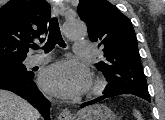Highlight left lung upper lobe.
<instances>
[{
	"instance_id": "5c2ea615",
	"label": "left lung upper lobe",
	"mask_w": 165,
	"mask_h": 120,
	"mask_svg": "<svg viewBox=\"0 0 165 120\" xmlns=\"http://www.w3.org/2000/svg\"><path fill=\"white\" fill-rule=\"evenodd\" d=\"M77 11L87 24L89 39L103 48L104 60L95 66L108 81L106 94L150 100L131 21L107 0H79Z\"/></svg>"
}]
</instances>
